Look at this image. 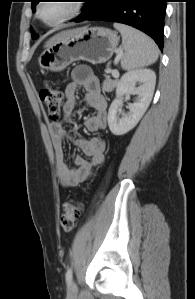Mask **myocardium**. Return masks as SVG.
Wrapping results in <instances>:
<instances>
[{"instance_id":"obj_1","label":"myocardium","mask_w":195,"mask_h":299,"mask_svg":"<svg viewBox=\"0 0 195 299\" xmlns=\"http://www.w3.org/2000/svg\"><path fill=\"white\" fill-rule=\"evenodd\" d=\"M67 2L70 5L69 12L64 17L59 19L58 21L49 23V22L44 21L41 17V14H40L41 8H42L43 4L46 3V1H41L40 3H38L37 9H36V16H37L38 20L41 21L43 24H45L48 27H58L62 24H65L66 22L76 18L80 14L82 7H83L81 1L67 0Z\"/></svg>"}]
</instances>
